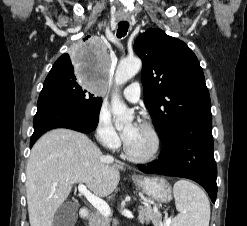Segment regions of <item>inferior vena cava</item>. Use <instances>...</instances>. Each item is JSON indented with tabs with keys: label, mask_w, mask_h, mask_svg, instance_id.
Masks as SVG:
<instances>
[{
	"label": "inferior vena cava",
	"mask_w": 247,
	"mask_h": 226,
	"mask_svg": "<svg viewBox=\"0 0 247 226\" xmlns=\"http://www.w3.org/2000/svg\"><path fill=\"white\" fill-rule=\"evenodd\" d=\"M108 158L113 159L111 156H109Z\"/></svg>",
	"instance_id": "obj_1"
}]
</instances>
